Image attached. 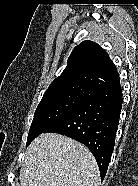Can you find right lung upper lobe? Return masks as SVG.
I'll return each mask as SVG.
<instances>
[{"mask_svg": "<svg viewBox=\"0 0 138 186\" xmlns=\"http://www.w3.org/2000/svg\"><path fill=\"white\" fill-rule=\"evenodd\" d=\"M69 86H83L92 90L120 86L115 65L97 43L87 40L76 46L68 58L67 67L47 91Z\"/></svg>", "mask_w": 138, "mask_h": 186, "instance_id": "obj_1", "label": "right lung upper lobe"}]
</instances>
